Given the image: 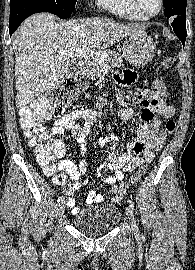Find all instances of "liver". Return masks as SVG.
I'll return each instance as SVG.
<instances>
[{
  "label": "liver",
  "instance_id": "liver-1",
  "mask_svg": "<svg viewBox=\"0 0 195 270\" xmlns=\"http://www.w3.org/2000/svg\"><path fill=\"white\" fill-rule=\"evenodd\" d=\"M142 27L107 18L60 22L50 13L28 17L12 36L15 52L16 106L22 108L41 93L61 84L69 73L70 57L62 52H100Z\"/></svg>",
  "mask_w": 195,
  "mask_h": 270
}]
</instances>
